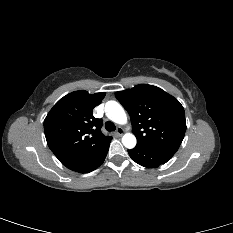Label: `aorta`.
<instances>
[{"mask_svg": "<svg viewBox=\"0 0 233 233\" xmlns=\"http://www.w3.org/2000/svg\"><path fill=\"white\" fill-rule=\"evenodd\" d=\"M105 114L117 124L124 125L127 123V115L123 107L116 101H108L105 104ZM122 143L126 148L132 149L136 146L137 140L134 134L126 133L122 137Z\"/></svg>", "mask_w": 233, "mask_h": 233, "instance_id": "obj_1", "label": "aorta"}]
</instances>
